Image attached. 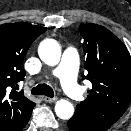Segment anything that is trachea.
Here are the masks:
<instances>
[{"instance_id":"obj_1","label":"trachea","mask_w":131,"mask_h":131,"mask_svg":"<svg viewBox=\"0 0 131 131\" xmlns=\"http://www.w3.org/2000/svg\"><path fill=\"white\" fill-rule=\"evenodd\" d=\"M31 93L34 95H45L47 97L53 98L54 91L47 84H39L31 90Z\"/></svg>"}]
</instances>
